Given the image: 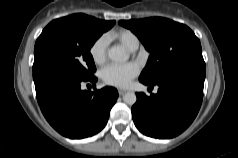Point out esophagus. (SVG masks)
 Wrapping results in <instances>:
<instances>
[{"mask_svg":"<svg viewBox=\"0 0 238 158\" xmlns=\"http://www.w3.org/2000/svg\"><path fill=\"white\" fill-rule=\"evenodd\" d=\"M118 93H119L120 96H122L126 93V91L125 90H118Z\"/></svg>","mask_w":238,"mask_h":158,"instance_id":"34e87169","label":"esophagus"}]
</instances>
